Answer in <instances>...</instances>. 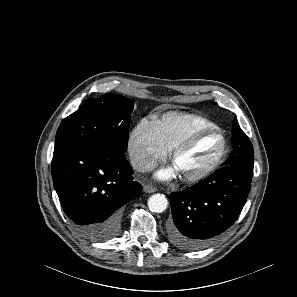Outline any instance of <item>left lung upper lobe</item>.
I'll use <instances>...</instances> for the list:
<instances>
[{
	"mask_svg": "<svg viewBox=\"0 0 297 297\" xmlns=\"http://www.w3.org/2000/svg\"><path fill=\"white\" fill-rule=\"evenodd\" d=\"M232 146L233 150L225 161V166L253 165V146L236 119L232 122Z\"/></svg>",
	"mask_w": 297,
	"mask_h": 297,
	"instance_id": "left-lung-upper-lobe-1",
	"label": "left lung upper lobe"
}]
</instances>
